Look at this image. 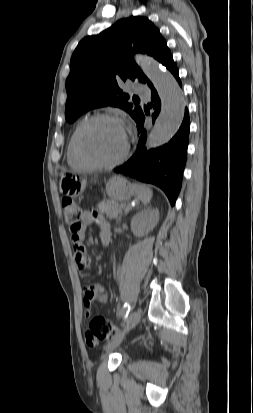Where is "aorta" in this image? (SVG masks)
Here are the masks:
<instances>
[{"label":"aorta","instance_id":"762f6f07","mask_svg":"<svg viewBox=\"0 0 253 413\" xmlns=\"http://www.w3.org/2000/svg\"><path fill=\"white\" fill-rule=\"evenodd\" d=\"M142 69L155 86L161 99V112L148 135L147 148L168 143L178 131L184 117L185 102L174 77L151 57L139 56Z\"/></svg>","mask_w":253,"mask_h":413}]
</instances>
